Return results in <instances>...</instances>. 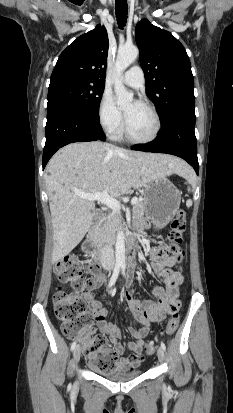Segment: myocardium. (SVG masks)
<instances>
[{"label":"myocardium","mask_w":233,"mask_h":413,"mask_svg":"<svg viewBox=\"0 0 233 413\" xmlns=\"http://www.w3.org/2000/svg\"><path fill=\"white\" fill-rule=\"evenodd\" d=\"M141 105L145 106L152 114L154 121H155V127H154V131L153 133L147 137V138H135L133 137L128 130V124H127V120L125 119V123H124V136L126 138L127 141L134 143V144H148L151 143L153 141H155L161 132L162 129V122H161V118L160 115L156 109V107L147 102V101H142Z\"/></svg>","instance_id":"f54148a6"}]
</instances>
